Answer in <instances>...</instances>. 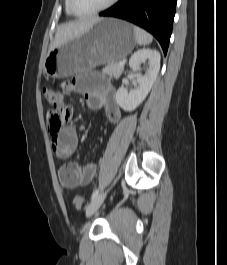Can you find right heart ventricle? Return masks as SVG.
I'll list each match as a JSON object with an SVG mask.
<instances>
[{"label":"right heart ventricle","instance_id":"obj_1","mask_svg":"<svg viewBox=\"0 0 227 265\" xmlns=\"http://www.w3.org/2000/svg\"><path fill=\"white\" fill-rule=\"evenodd\" d=\"M65 10H66V13L68 14V15H73L71 12H70V10H69V8H68V0H65Z\"/></svg>","mask_w":227,"mask_h":265}]
</instances>
